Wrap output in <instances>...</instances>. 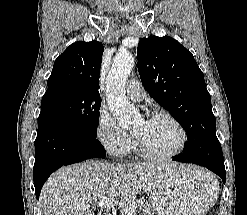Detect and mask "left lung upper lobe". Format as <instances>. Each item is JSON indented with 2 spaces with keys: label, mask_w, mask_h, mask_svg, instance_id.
<instances>
[{
  "label": "left lung upper lobe",
  "mask_w": 247,
  "mask_h": 215,
  "mask_svg": "<svg viewBox=\"0 0 247 215\" xmlns=\"http://www.w3.org/2000/svg\"><path fill=\"white\" fill-rule=\"evenodd\" d=\"M137 59L145 89L185 129L184 152H194L199 139L217 138L211 97L191 52L171 37L151 36L139 41Z\"/></svg>",
  "instance_id": "5c2ea615"
}]
</instances>
